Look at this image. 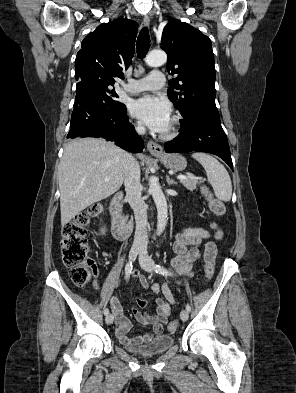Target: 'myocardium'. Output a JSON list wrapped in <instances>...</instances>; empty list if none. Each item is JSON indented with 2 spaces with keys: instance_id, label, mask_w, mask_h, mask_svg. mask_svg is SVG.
Listing matches in <instances>:
<instances>
[{
  "instance_id": "myocardium-1",
  "label": "myocardium",
  "mask_w": 296,
  "mask_h": 393,
  "mask_svg": "<svg viewBox=\"0 0 296 393\" xmlns=\"http://www.w3.org/2000/svg\"><path fill=\"white\" fill-rule=\"evenodd\" d=\"M180 126V117L178 115H174L171 118V125L167 131H164L161 134L162 139H172L177 136Z\"/></svg>"
}]
</instances>
